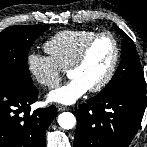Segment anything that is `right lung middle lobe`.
<instances>
[{
  "label": "right lung middle lobe",
  "instance_id": "1",
  "mask_svg": "<svg viewBox=\"0 0 147 147\" xmlns=\"http://www.w3.org/2000/svg\"><path fill=\"white\" fill-rule=\"evenodd\" d=\"M49 26H12L0 33V82L27 87L33 85L28 69V53Z\"/></svg>",
  "mask_w": 147,
  "mask_h": 147
}]
</instances>
